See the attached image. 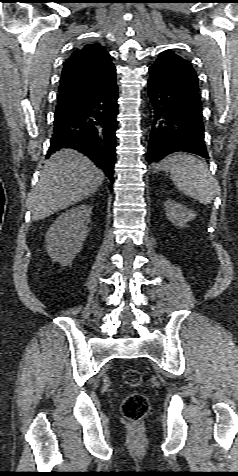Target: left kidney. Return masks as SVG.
Returning a JSON list of instances; mask_svg holds the SVG:
<instances>
[{"label": "left kidney", "instance_id": "1", "mask_svg": "<svg viewBox=\"0 0 238 476\" xmlns=\"http://www.w3.org/2000/svg\"><path fill=\"white\" fill-rule=\"evenodd\" d=\"M164 207L168 220L176 226L185 227L188 221L196 218V214L193 211L188 210L184 205L173 200L165 201Z\"/></svg>", "mask_w": 238, "mask_h": 476}]
</instances>
